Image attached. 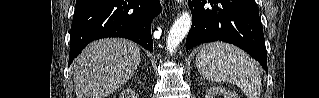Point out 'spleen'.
<instances>
[{"instance_id":"3e777b00","label":"spleen","mask_w":319,"mask_h":98,"mask_svg":"<svg viewBox=\"0 0 319 98\" xmlns=\"http://www.w3.org/2000/svg\"><path fill=\"white\" fill-rule=\"evenodd\" d=\"M196 66L205 79L233 83L248 98H260L259 66L239 48L222 42L206 44L196 57Z\"/></svg>"}]
</instances>
